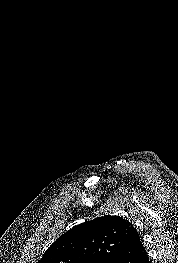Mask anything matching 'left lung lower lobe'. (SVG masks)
<instances>
[{
  "instance_id": "left-lung-lower-lobe-1",
  "label": "left lung lower lobe",
  "mask_w": 178,
  "mask_h": 263,
  "mask_svg": "<svg viewBox=\"0 0 178 263\" xmlns=\"http://www.w3.org/2000/svg\"><path fill=\"white\" fill-rule=\"evenodd\" d=\"M109 263H150L146 249L133 226L117 254Z\"/></svg>"
}]
</instances>
